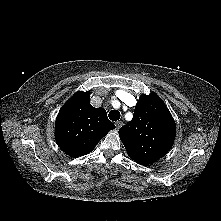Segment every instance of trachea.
Segmentation results:
<instances>
[{
  "label": "trachea",
  "mask_w": 221,
  "mask_h": 221,
  "mask_svg": "<svg viewBox=\"0 0 221 221\" xmlns=\"http://www.w3.org/2000/svg\"><path fill=\"white\" fill-rule=\"evenodd\" d=\"M108 116L112 121H117L120 119V112L117 110H112Z\"/></svg>",
  "instance_id": "3493384b"
}]
</instances>
